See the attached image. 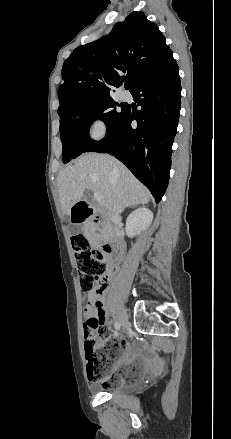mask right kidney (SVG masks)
I'll return each instance as SVG.
<instances>
[{"label":"right kidney","mask_w":231,"mask_h":439,"mask_svg":"<svg viewBox=\"0 0 231 439\" xmlns=\"http://www.w3.org/2000/svg\"><path fill=\"white\" fill-rule=\"evenodd\" d=\"M153 220V213L147 208H139L132 212L126 220V230L129 237L144 231Z\"/></svg>","instance_id":"right-kidney-1"}]
</instances>
